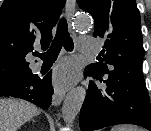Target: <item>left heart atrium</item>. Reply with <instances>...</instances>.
Here are the masks:
<instances>
[{"instance_id": "39dd6f15", "label": "left heart atrium", "mask_w": 151, "mask_h": 131, "mask_svg": "<svg viewBox=\"0 0 151 131\" xmlns=\"http://www.w3.org/2000/svg\"><path fill=\"white\" fill-rule=\"evenodd\" d=\"M74 78V68L68 63L61 64L55 70L54 83L59 90H63L68 87L74 81Z\"/></svg>"}]
</instances>
